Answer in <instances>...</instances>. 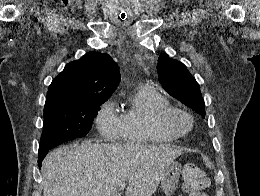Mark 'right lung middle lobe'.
I'll return each mask as SVG.
<instances>
[{"mask_svg": "<svg viewBox=\"0 0 260 196\" xmlns=\"http://www.w3.org/2000/svg\"><path fill=\"white\" fill-rule=\"evenodd\" d=\"M104 102L105 99H93L45 106L39 149H52L66 141L85 137Z\"/></svg>", "mask_w": 260, "mask_h": 196, "instance_id": "1", "label": "right lung middle lobe"}]
</instances>
